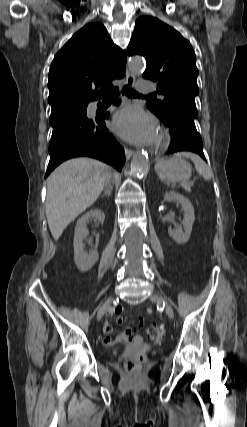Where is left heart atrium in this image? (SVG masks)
<instances>
[{"mask_svg": "<svg viewBox=\"0 0 247 427\" xmlns=\"http://www.w3.org/2000/svg\"><path fill=\"white\" fill-rule=\"evenodd\" d=\"M112 129L121 138L134 144L152 143L157 134L155 119L136 106L117 112L112 121Z\"/></svg>", "mask_w": 247, "mask_h": 427, "instance_id": "39dd6f15", "label": "left heart atrium"}]
</instances>
